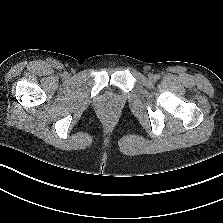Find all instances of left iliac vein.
<instances>
[{"instance_id":"4c4485c4","label":"left iliac vein","mask_w":223,"mask_h":223,"mask_svg":"<svg viewBox=\"0 0 223 223\" xmlns=\"http://www.w3.org/2000/svg\"><path fill=\"white\" fill-rule=\"evenodd\" d=\"M149 79L154 80L155 76L153 74H149Z\"/></svg>"}]
</instances>
